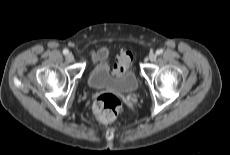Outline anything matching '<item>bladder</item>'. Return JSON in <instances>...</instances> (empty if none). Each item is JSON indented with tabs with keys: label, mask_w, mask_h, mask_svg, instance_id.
<instances>
[{
	"label": "bladder",
	"mask_w": 230,
	"mask_h": 155,
	"mask_svg": "<svg viewBox=\"0 0 230 155\" xmlns=\"http://www.w3.org/2000/svg\"><path fill=\"white\" fill-rule=\"evenodd\" d=\"M87 82L93 89H112L123 94L134 93L139 88L138 77L133 71L127 70L119 75L112 74L109 64L105 61L97 64L89 72Z\"/></svg>",
	"instance_id": "obj_1"
}]
</instances>
